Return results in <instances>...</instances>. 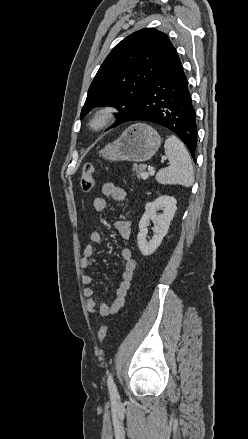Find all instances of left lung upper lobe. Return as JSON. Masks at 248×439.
Wrapping results in <instances>:
<instances>
[{"instance_id": "1", "label": "left lung upper lobe", "mask_w": 248, "mask_h": 439, "mask_svg": "<svg viewBox=\"0 0 248 439\" xmlns=\"http://www.w3.org/2000/svg\"><path fill=\"white\" fill-rule=\"evenodd\" d=\"M174 51L168 36L153 28L136 31L123 39L99 68L80 118L97 106L109 105L119 110L115 125L121 124Z\"/></svg>"}]
</instances>
